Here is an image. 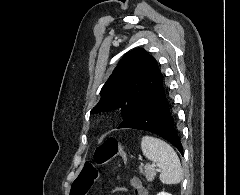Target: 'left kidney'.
Instances as JSON below:
<instances>
[{
	"instance_id": "5707ae66",
	"label": "left kidney",
	"mask_w": 240,
	"mask_h": 195,
	"mask_svg": "<svg viewBox=\"0 0 240 195\" xmlns=\"http://www.w3.org/2000/svg\"><path fill=\"white\" fill-rule=\"evenodd\" d=\"M157 195H172V193H167V191H159Z\"/></svg>"
}]
</instances>
